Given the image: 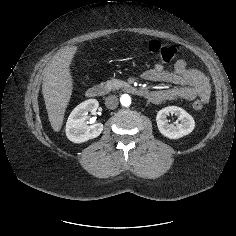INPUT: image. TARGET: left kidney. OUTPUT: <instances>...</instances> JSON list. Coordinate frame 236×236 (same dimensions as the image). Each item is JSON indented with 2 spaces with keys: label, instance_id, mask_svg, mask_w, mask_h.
Masks as SVG:
<instances>
[{
  "label": "left kidney",
  "instance_id": "left-kidney-1",
  "mask_svg": "<svg viewBox=\"0 0 236 236\" xmlns=\"http://www.w3.org/2000/svg\"><path fill=\"white\" fill-rule=\"evenodd\" d=\"M175 114L180 123L169 124L167 116ZM157 126L160 133L169 139H179L190 134L195 128L193 117L184 109L177 106H169L161 109L156 116Z\"/></svg>",
  "mask_w": 236,
  "mask_h": 236
}]
</instances>
